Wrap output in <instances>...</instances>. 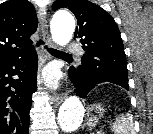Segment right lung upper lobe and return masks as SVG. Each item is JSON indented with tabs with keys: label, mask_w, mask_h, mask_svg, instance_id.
<instances>
[{
	"label": "right lung upper lobe",
	"mask_w": 153,
	"mask_h": 134,
	"mask_svg": "<svg viewBox=\"0 0 153 134\" xmlns=\"http://www.w3.org/2000/svg\"><path fill=\"white\" fill-rule=\"evenodd\" d=\"M36 29L37 16L29 1L0 4V64L32 51L30 36Z\"/></svg>",
	"instance_id": "obj_1"
}]
</instances>
